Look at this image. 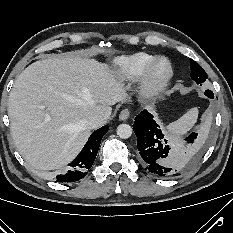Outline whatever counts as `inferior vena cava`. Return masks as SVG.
<instances>
[{"label":"inferior vena cava","instance_id":"obj_1","mask_svg":"<svg viewBox=\"0 0 233 233\" xmlns=\"http://www.w3.org/2000/svg\"><path fill=\"white\" fill-rule=\"evenodd\" d=\"M107 121V116L99 113L90 114L86 120L85 123L88 128L90 129H96L101 126H103Z\"/></svg>","mask_w":233,"mask_h":233}]
</instances>
